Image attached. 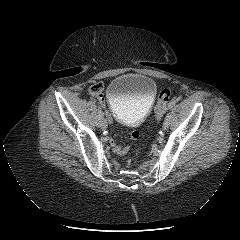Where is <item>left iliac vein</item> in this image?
Listing matches in <instances>:
<instances>
[{"instance_id":"obj_1","label":"left iliac vein","mask_w":240,"mask_h":240,"mask_svg":"<svg viewBox=\"0 0 240 240\" xmlns=\"http://www.w3.org/2000/svg\"><path fill=\"white\" fill-rule=\"evenodd\" d=\"M170 121H171V114L168 113L167 116L165 117L164 123H163V130H167V128L170 125Z\"/></svg>"}]
</instances>
